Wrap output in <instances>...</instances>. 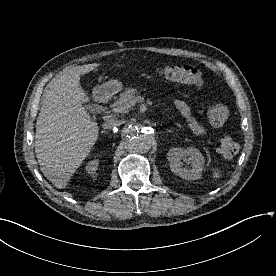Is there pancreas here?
Returning a JSON list of instances; mask_svg holds the SVG:
<instances>
[{"label": "pancreas", "instance_id": "cf45deb5", "mask_svg": "<svg viewBox=\"0 0 276 276\" xmlns=\"http://www.w3.org/2000/svg\"><path fill=\"white\" fill-rule=\"evenodd\" d=\"M136 93L137 90L135 88H127L120 94L117 102L134 99Z\"/></svg>", "mask_w": 276, "mask_h": 276}]
</instances>
